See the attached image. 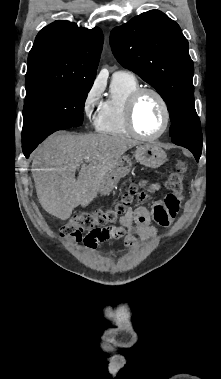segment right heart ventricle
Wrapping results in <instances>:
<instances>
[{
    "label": "right heart ventricle",
    "instance_id": "e07e8e85",
    "mask_svg": "<svg viewBox=\"0 0 221 379\" xmlns=\"http://www.w3.org/2000/svg\"><path fill=\"white\" fill-rule=\"evenodd\" d=\"M138 88L139 82L132 75L113 76L109 94L94 121L98 132L118 136L131 134L126 125L125 107L129 96Z\"/></svg>",
    "mask_w": 221,
    "mask_h": 379
}]
</instances>
